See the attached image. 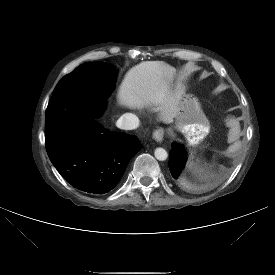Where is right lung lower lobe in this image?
<instances>
[{
    "instance_id": "1",
    "label": "right lung lower lobe",
    "mask_w": 275,
    "mask_h": 275,
    "mask_svg": "<svg viewBox=\"0 0 275 275\" xmlns=\"http://www.w3.org/2000/svg\"><path fill=\"white\" fill-rule=\"evenodd\" d=\"M113 86V79L105 82L103 94L109 95ZM45 133L48 156L60 175L73 187L93 194L111 191L142 148L135 136L111 132L96 117H78Z\"/></svg>"
}]
</instances>
